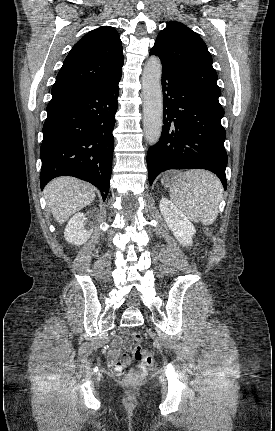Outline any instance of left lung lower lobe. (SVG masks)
I'll list each match as a JSON object with an SVG mask.
<instances>
[{"instance_id": "0a47b994", "label": "left lung lower lobe", "mask_w": 275, "mask_h": 431, "mask_svg": "<svg viewBox=\"0 0 275 431\" xmlns=\"http://www.w3.org/2000/svg\"><path fill=\"white\" fill-rule=\"evenodd\" d=\"M150 54L155 55L152 51ZM163 129L147 153L149 183L169 169H206L227 187L224 115L183 76L162 65Z\"/></svg>"}]
</instances>
